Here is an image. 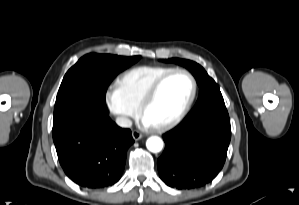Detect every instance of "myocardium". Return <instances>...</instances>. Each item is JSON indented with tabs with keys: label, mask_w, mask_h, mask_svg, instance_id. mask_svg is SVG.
Wrapping results in <instances>:
<instances>
[{
	"label": "myocardium",
	"mask_w": 299,
	"mask_h": 205,
	"mask_svg": "<svg viewBox=\"0 0 299 205\" xmlns=\"http://www.w3.org/2000/svg\"><path fill=\"white\" fill-rule=\"evenodd\" d=\"M179 73L187 75L191 80L192 90H191L190 97L187 100L184 107L173 118H171L165 122L156 124V125H151V127L156 131H163V130L169 129V128L177 125L181 120H183V118L190 111V109L194 103V100L196 98V94H197V81H196V78L194 77V75L189 70L183 69V68H176V69L169 71L168 73L161 76L151 86V88L147 91V93L145 94L144 98L142 99V101L138 107L139 115H140V117H142L144 119V114H145L146 110L152 104V102L154 101L155 97L157 96L158 92L160 91V89L164 85V83L170 77H172L175 74H179Z\"/></svg>",
	"instance_id": "obj_1"
}]
</instances>
